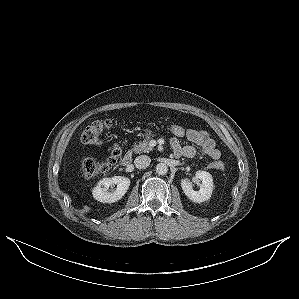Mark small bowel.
<instances>
[{
    "instance_id": "obj_1",
    "label": "small bowel",
    "mask_w": 299,
    "mask_h": 299,
    "mask_svg": "<svg viewBox=\"0 0 299 299\" xmlns=\"http://www.w3.org/2000/svg\"><path fill=\"white\" fill-rule=\"evenodd\" d=\"M187 140L194 145L181 146L177 138L171 140V145L176 156H184L187 158L194 157L197 153L208 156L214 160L221 157L220 151L216 148V143L210 134L204 130L189 129Z\"/></svg>"
}]
</instances>
